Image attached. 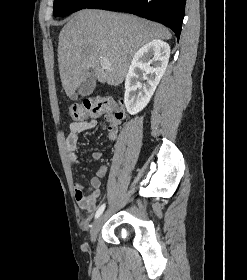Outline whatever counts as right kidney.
Instances as JSON below:
<instances>
[{
    "label": "right kidney",
    "mask_w": 247,
    "mask_h": 280,
    "mask_svg": "<svg viewBox=\"0 0 247 280\" xmlns=\"http://www.w3.org/2000/svg\"><path fill=\"white\" fill-rule=\"evenodd\" d=\"M169 57L170 46L160 39L146 43L135 53L125 80L124 100L129 114L139 113L149 103L165 73Z\"/></svg>",
    "instance_id": "1"
}]
</instances>
